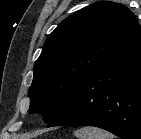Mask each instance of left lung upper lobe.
I'll list each match as a JSON object with an SVG mask.
<instances>
[{
    "mask_svg": "<svg viewBox=\"0 0 141 139\" xmlns=\"http://www.w3.org/2000/svg\"><path fill=\"white\" fill-rule=\"evenodd\" d=\"M139 32L133 13L110 1L94 3L64 19L35 62L29 113L41 112L50 123L86 78Z\"/></svg>",
    "mask_w": 141,
    "mask_h": 139,
    "instance_id": "left-lung-upper-lobe-1",
    "label": "left lung upper lobe"
}]
</instances>
